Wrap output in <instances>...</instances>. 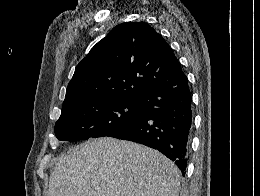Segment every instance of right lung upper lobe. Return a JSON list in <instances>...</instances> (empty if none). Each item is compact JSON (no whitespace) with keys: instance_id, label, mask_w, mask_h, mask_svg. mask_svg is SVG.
Wrapping results in <instances>:
<instances>
[{"instance_id":"right-lung-upper-lobe-1","label":"right lung upper lobe","mask_w":260,"mask_h":196,"mask_svg":"<svg viewBox=\"0 0 260 196\" xmlns=\"http://www.w3.org/2000/svg\"><path fill=\"white\" fill-rule=\"evenodd\" d=\"M183 73L168 43L149 24L122 23L76 66L63 108L103 95L139 99Z\"/></svg>"}]
</instances>
